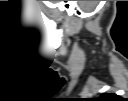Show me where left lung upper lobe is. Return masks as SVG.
<instances>
[{"instance_id": "5c2ea615", "label": "left lung upper lobe", "mask_w": 128, "mask_h": 101, "mask_svg": "<svg viewBox=\"0 0 128 101\" xmlns=\"http://www.w3.org/2000/svg\"><path fill=\"white\" fill-rule=\"evenodd\" d=\"M116 98H117V95L115 94H103L101 96V99H106V101H115Z\"/></svg>"}]
</instances>
